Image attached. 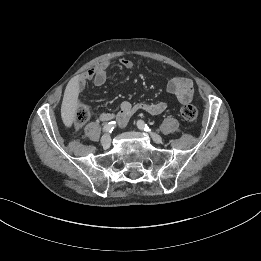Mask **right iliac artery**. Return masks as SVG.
I'll return each instance as SVG.
<instances>
[{
  "label": "right iliac artery",
  "instance_id": "right-iliac-artery-1",
  "mask_svg": "<svg viewBox=\"0 0 261 261\" xmlns=\"http://www.w3.org/2000/svg\"><path fill=\"white\" fill-rule=\"evenodd\" d=\"M115 126H116V122L111 121L104 125L103 132H112V130L114 129Z\"/></svg>",
  "mask_w": 261,
  "mask_h": 261
}]
</instances>
